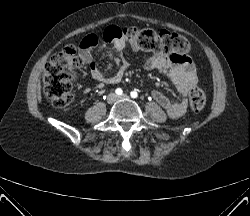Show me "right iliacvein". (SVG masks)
I'll use <instances>...</instances> for the list:
<instances>
[{
  "label": "right iliac vein",
  "mask_w": 250,
  "mask_h": 216,
  "mask_svg": "<svg viewBox=\"0 0 250 216\" xmlns=\"http://www.w3.org/2000/svg\"><path fill=\"white\" fill-rule=\"evenodd\" d=\"M116 99H117V96L114 93H110L107 97V102L109 104H112L116 101Z\"/></svg>",
  "instance_id": "right-iliac-vein-1"
}]
</instances>
